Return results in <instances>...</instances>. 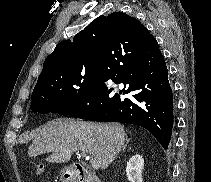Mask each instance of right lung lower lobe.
Here are the masks:
<instances>
[{"label": "right lung lower lobe", "instance_id": "1", "mask_svg": "<svg viewBox=\"0 0 211 182\" xmlns=\"http://www.w3.org/2000/svg\"><path fill=\"white\" fill-rule=\"evenodd\" d=\"M104 43L98 77L86 96L63 115L121 122L150 131L164 149L173 127V95L165 60L155 38L127 44ZM124 88L113 95L107 80Z\"/></svg>", "mask_w": 211, "mask_h": 182}]
</instances>
